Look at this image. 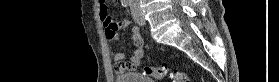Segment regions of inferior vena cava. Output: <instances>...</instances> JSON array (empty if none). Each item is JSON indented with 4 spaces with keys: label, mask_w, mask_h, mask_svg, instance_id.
Returning a JSON list of instances; mask_svg holds the SVG:
<instances>
[{
    "label": "inferior vena cava",
    "mask_w": 279,
    "mask_h": 82,
    "mask_svg": "<svg viewBox=\"0 0 279 82\" xmlns=\"http://www.w3.org/2000/svg\"><path fill=\"white\" fill-rule=\"evenodd\" d=\"M131 3H132L133 11L138 12L139 11V7H138L137 0H131Z\"/></svg>",
    "instance_id": "obj_1"
}]
</instances>
